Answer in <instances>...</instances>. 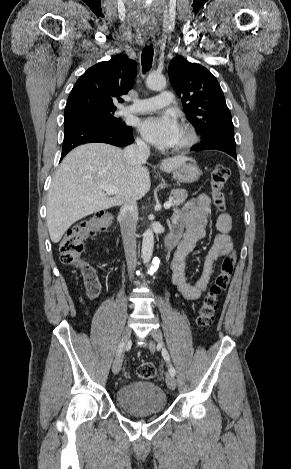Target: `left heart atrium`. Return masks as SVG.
<instances>
[{"mask_svg":"<svg viewBox=\"0 0 291 469\" xmlns=\"http://www.w3.org/2000/svg\"><path fill=\"white\" fill-rule=\"evenodd\" d=\"M143 137L159 148L173 147L179 137L181 128L169 113H162L144 118L139 125Z\"/></svg>","mask_w":291,"mask_h":469,"instance_id":"39dd6f15","label":"left heart atrium"}]
</instances>
